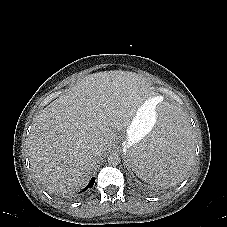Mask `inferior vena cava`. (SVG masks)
Returning a JSON list of instances; mask_svg holds the SVG:
<instances>
[{"instance_id":"1","label":"inferior vena cava","mask_w":227,"mask_h":227,"mask_svg":"<svg viewBox=\"0 0 227 227\" xmlns=\"http://www.w3.org/2000/svg\"><path fill=\"white\" fill-rule=\"evenodd\" d=\"M105 144L104 143H100V144H97L95 146V151L98 152V151H101L103 148H104Z\"/></svg>"}]
</instances>
